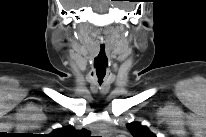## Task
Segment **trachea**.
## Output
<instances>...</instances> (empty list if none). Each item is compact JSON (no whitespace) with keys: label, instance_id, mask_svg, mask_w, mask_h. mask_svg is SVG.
<instances>
[{"label":"trachea","instance_id":"obj_1","mask_svg":"<svg viewBox=\"0 0 206 137\" xmlns=\"http://www.w3.org/2000/svg\"><path fill=\"white\" fill-rule=\"evenodd\" d=\"M101 56H103L102 59H100ZM94 65L96 66V73H97V77H98V82L101 85L103 82L105 73H106V66H107L104 47H101L100 54L96 58ZM102 71L104 73L100 74V72H102Z\"/></svg>","mask_w":206,"mask_h":137}]
</instances>
